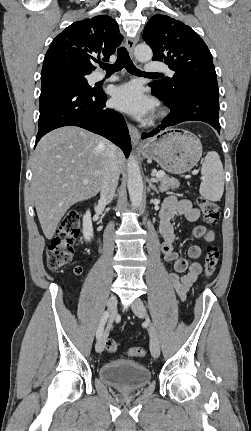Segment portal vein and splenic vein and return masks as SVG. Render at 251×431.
I'll return each mask as SVG.
<instances>
[{
  "instance_id": "18ae733b",
  "label": "portal vein and splenic vein",
  "mask_w": 251,
  "mask_h": 431,
  "mask_svg": "<svg viewBox=\"0 0 251 431\" xmlns=\"http://www.w3.org/2000/svg\"><path fill=\"white\" fill-rule=\"evenodd\" d=\"M164 174H165L164 172H158V173H156V174H155V177H156V178H160V177H162ZM153 180L155 181L156 179H153ZM83 183H84V184H87V183H88V180H84V181H83Z\"/></svg>"
}]
</instances>
